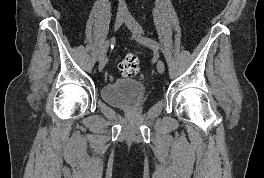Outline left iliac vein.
Masks as SVG:
<instances>
[{
	"instance_id": "left-iliac-vein-1",
	"label": "left iliac vein",
	"mask_w": 264,
	"mask_h": 178,
	"mask_svg": "<svg viewBox=\"0 0 264 178\" xmlns=\"http://www.w3.org/2000/svg\"><path fill=\"white\" fill-rule=\"evenodd\" d=\"M126 26L130 29L133 35L137 37H141L143 34V30L139 23L130 15L127 16L125 20ZM157 70L160 74H163L165 71V65L162 60L157 61Z\"/></svg>"
}]
</instances>
